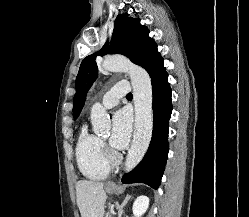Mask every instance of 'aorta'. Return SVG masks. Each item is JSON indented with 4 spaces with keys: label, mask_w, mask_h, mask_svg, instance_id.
Masks as SVG:
<instances>
[{
    "label": "aorta",
    "mask_w": 249,
    "mask_h": 217,
    "mask_svg": "<svg viewBox=\"0 0 249 217\" xmlns=\"http://www.w3.org/2000/svg\"><path fill=\"white\" fill-rule=\"evenodd\" d=\"M102 67L108 71L127 72L130 75L135 106V130L125 161V170L129 172L143 159L152 137L153 96L151 79L143 68L120 56L106 57ZM91 123L96 133H103L110 127L106 110L99 103L94 104L91 109Z\"/></svg>",
    "instance_id": "1"
}]
</instances>
